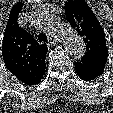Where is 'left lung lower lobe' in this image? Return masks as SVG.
I'll use <instances>...</instances> for the list:
<instances>
[{
	"instance_id": "1",
	"label": "left lung lower lobe",
	"mask_w": 113,
	"mask_h": 113,
	"mask_svg": "<svg viewBox=\"0 0 113 113\" xmlns=\"http://www.w3.org/2000/svg\"><path fill=\"white\" fill-rule=\"evenodd\" d=\"M75 70H76L77 75L81 79L86 80V81L88 80L90 81V80L97 78L103 72V70L90 67V66H86L80 62H75Z\"/></svg>"
}]
</instances>
